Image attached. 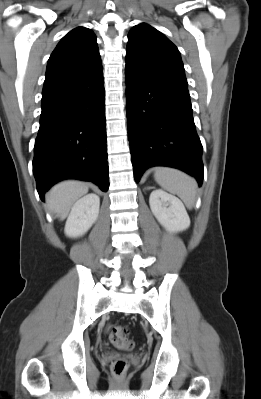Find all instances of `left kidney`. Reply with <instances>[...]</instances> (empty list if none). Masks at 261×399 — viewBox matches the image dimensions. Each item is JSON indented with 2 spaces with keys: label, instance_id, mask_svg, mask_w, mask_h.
<instances>
[{
  "label": "left kidney",
  "instance_id": "5707ae66",
  "mask_svg": "<svg viewBox=\"0 0 261 399\" xmlns=\"http://www.w3.org/2000/svg\"><path fill=\"white\" fill-rule=\"evenodd\" d=\"M149 205L158 222L169 232L177 233L189 228L190 218L177 197L157 189L150 194Z\"/></svg>",
  "mask_w": 261,
  "mask_h": 399
}]
</instances>
